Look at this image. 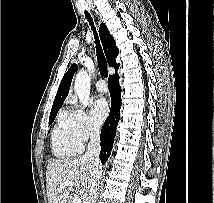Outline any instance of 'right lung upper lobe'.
Instances as JSON below:
<instances>
[{"mask_svg":"<svg viewBox=\"0 0 214 203\" xmlns=\"http://www.w3.org/2000/svg\"><path fill=\"white\" fill-rule=\"evenodd\" d=\"M99 34H100V38H101V41L103 44L107 62L109 65L113 66L117 72L119 64H116V57L119 53V50L116 47L113 36L110 34L108 28L106 27V25L104 23L100 24ZM76 70H77V65L72 64L71 67L68 69V71L65 73V75L59 85L57 94L55 96L50 116L57 114L59 108L61 107L65 98L67 97V95L69 93L71 81H72L73 75Z\"/></svg>","mask_w":214,"mask_h":203,"instance_id":"right-lung-upper-lobe-1","label":"right lung upper lobe"}]
</instances>
